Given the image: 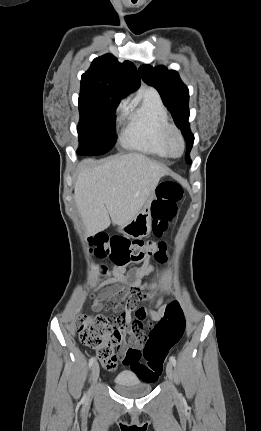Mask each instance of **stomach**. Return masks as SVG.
I'll return each instance as SVG.
<instances>
[{"label":"stomach","mask_w":261,"mask_h":431,"mask_svg":"<svg viewBox=\"0 0 261 431\" xmlns=\"http://www.w3.org/2000/svg\"><path fill=\"white\" fill-rule=\"evenodd\" d=\"M154 198L155 189L139 213L128 223L118 225L117 230L131 238H143L147 236L151 231L152 217L150 213V206Z\"/></svg>","instance_id":"stomach-1"}]
</instances>
